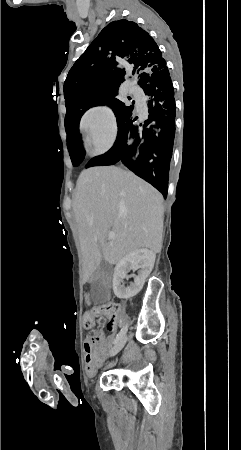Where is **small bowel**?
I'll list each match as a JSON object with an SVG mask.
<instances>
[{"mask_svg": "<svg viewBox=\"0 0 241 450\" xmlns=\"http://www.w3.org/2000/svg\"><path fill=\"white\" fill-rule=\"evenodd\" d=\"M95 321L90 325H85L86 328H92ZM121 327L120 319H109L107 324L108 331L109 328H113L110 331L112 334L107 335L103 329L95 331L84 343V359L86 363L87 373L89 375H94L101 365L102 357L105 352L111 348L116 328Z\"/></svg>", "mask_w": 241, "mask_h": 450, "instance_id": "obj_1", "label": "small bowel"}]
</instances>
